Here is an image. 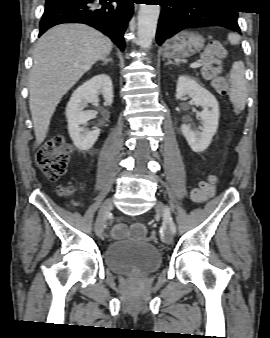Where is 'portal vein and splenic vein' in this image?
<instances>
[{
    "label": "portal vein and splenic vein",
    "instance_id": "18ae733b",
    "mask_svg": "<svg viewBox=\"0 0 270 338\" xmlns=\"http://www.w3.org/2000/svg\"><path fill=\"white\" fill-rule=\"evenodd\" d=\"M200 66H201V64H200L199 62H193V63L190 65L191 68H198V67H200Z\"/></svg>",
    "mask_w": 270,
    "mask_h": 338
}]
</instances>
